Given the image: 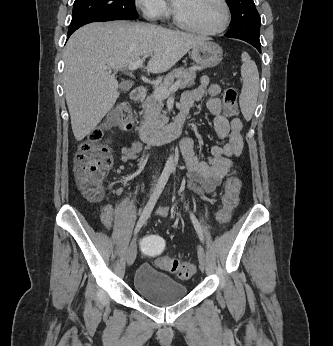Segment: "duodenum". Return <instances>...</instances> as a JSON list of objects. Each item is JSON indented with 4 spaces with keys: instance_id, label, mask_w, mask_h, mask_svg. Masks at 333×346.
<instances>
[{
    "instance_id": "410a0bca",
    "label": "duodenum",
    "mask_w": 333,
    "mask_h": 346,
    "mask_svg": "<svg viewBox=\"0 0 333 346\" xmlns=\"http://www.w3.org/2000/svg\"><path fill=\"white\" fill-rule=\"evenodd\" d=\"M146 96V89L143 86H137L131 93V99L134 101H141ZM186 122L185 116L176 117L171 123L158 128L153 129L146 126H139L138 135L140 139L149 144H160L177 137H180L183 133Z\"/></svg>"
}]
</instances>
